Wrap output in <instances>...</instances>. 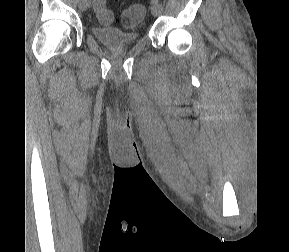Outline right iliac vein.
<instances>
[{
  "label": "right iliac vein",
  "mask_w": 289,
  "mask_h": 252,
  "mask_svg": "<svg viewBox=\"0 0 289 252\" xmlns=\"http://www.w3.org/2000/svg\"><path fill=\"white\" fill-rule=\"evenodd\" d=\"M78 6L82 11H86L90 6V0H78Z\"/></svg>",
  "instance_id": "1"
}]
</instances>
